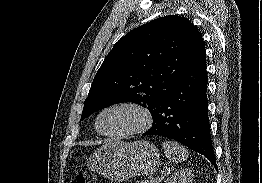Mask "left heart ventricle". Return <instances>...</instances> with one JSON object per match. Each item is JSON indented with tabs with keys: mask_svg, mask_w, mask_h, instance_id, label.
<instances>
[{
	"mask_svg": "<svg viewBox=\"0 0 262 183\" xmlns=\"http://www.w3.org/2000/svg\"><path fill=\"white\" fill-rule=\"evenodd\" d=\"M142 122L143 117L140 112L131 108H117L102 116L100 127L106 133L116 134L132 130Z\"/></svg>",
	"mask_w": 262,
	"mask_h": 183,
	"instance_id": "obj_1",
	"label": "left heart ventricle"
}]
</instances>
